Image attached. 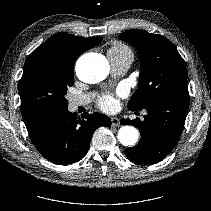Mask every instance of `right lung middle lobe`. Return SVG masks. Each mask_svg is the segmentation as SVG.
Instances as JSON below:
<instances>
[{"mask_svg": "<svg viewBox=\"0 0 211 211\" xmlns=\"http://www.w3.org/2000/svg\"><path fill=\"white\" fill-rule=\"evenodd\" d=\"M73 83V71L56 65L48 56L28 58L19 82L21 102L41 115L67 109L65 95Z\"/></svg>", "mask_w": 211, "mask_h": 211, "instance_id": "dd1d6c3e", "label": "right lung middle lobe"}]
</instances>
